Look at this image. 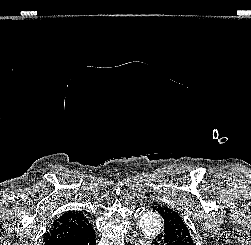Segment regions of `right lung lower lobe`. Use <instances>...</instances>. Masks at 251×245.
Listing matches in <instances>:
<instances>
[{
	"label": "right lung lower lobe",
	"instance_id": "right-lung-lower-lobe-1",
	"mask_svg": "<svg viewBox=\"0 0 251 245\" xmlns=\"http://www.w3.org/2000/svg\"><path fill=\"white\" fill-rule=\"evenodd\" d=\"M44 245H96L95 232L94 230H91L81 237L49 241L44 243Z\"/></svg>",
	"mask_w": 251,
	"mask_h": 245
}]
</instances>
